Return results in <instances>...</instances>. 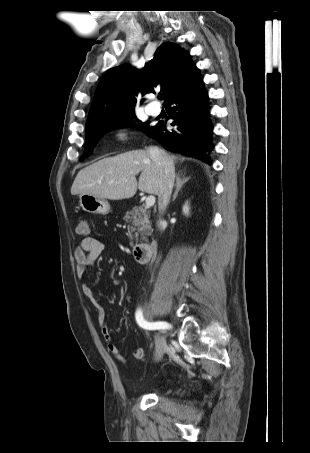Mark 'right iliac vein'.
<instances>
[{
	"label": "right iliac vein",
	"mask_w": 310,
	"mask_h": 453,
	"mask_svg": "<svg viewBox=\"0 0 310 453\" xmlns=\"http://www.w3.org/2000/svg\"><path fill=\"white\" fill-rule=\"evenodd\" d=\"M155 343H156L155 360L160 361L165 353L167 345H166L164 337L161 335H156Z\"/></svg>",
	"instance_id": "63e3f726"
}]
</instances>
